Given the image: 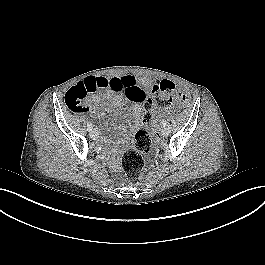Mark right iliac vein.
I'll use <instances>...</instances> for the list:
<instances>
[{
  "mask_svg": "<svg viewBox=\"0 0 265 265\" xmlns=\"http://www.w3.org/2000/svg\"><path fill=\"white\" fill-rule=\"evenodd\" d=\"M90 137H91L92 139L97 138V137H98V132H97V131H91V132H90Z\"/></svg>",
  "mask_w": 265,
  "mask_h": 265,
  "instance_id": "obj_1",
  "label": "right iliac vein"
}]
</instances>
